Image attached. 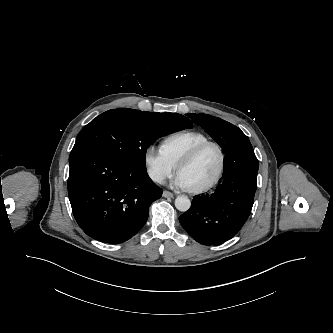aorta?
<instances>
[{"label":"aorta","instance_id":"obj_1","mask_svg":"<svg viewBox=\"0 0 333 333\" xmlns=\"http://www.w3.org/2000/svg\"><path fill=\"white\" fill-rule=\"evenodd\" d=\"M175 207L181 212H186L191 207V201L186 196H178L175 199Z\"/></svg>","mask_w":333,"mask_h":333}]
</instances>
